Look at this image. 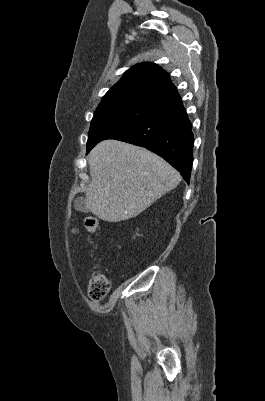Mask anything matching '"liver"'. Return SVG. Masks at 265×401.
Returning a JSON list of instances; mask_svg holds the SVG:
<instances>
[{"instance_id": "obj_1", "label": "liver", "mask_w": 265, "mask_h": 401, "mask_svg": "<svg viewBox=\"0 0 265 401\" xmlns=\"http://www.w3.org/2000/svg\"><path fill=\"white\" fill-rule=\"evenodd\" d=\"M87 160L92 178L85 205L108 223L137 217L181 180L161 156L120 140H102Z\"/></svg>"}]
</instances>
